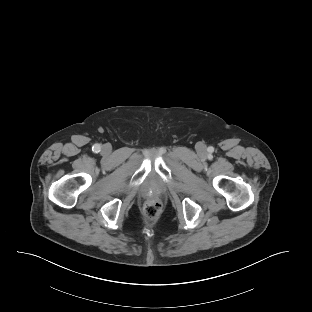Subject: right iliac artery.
Listing matches in <instances>:
<instances>
[{"label": "right iliac artery", "instance_id": "1", "mask_svg": "<svg viewBox=\"0 0 312 312\" xmlns=\"http://www.w3.org/2000/svg\"><path fill=\"white\" fill-rule=\"evenodd\" d=\"M100 150H101L100 144L93 145V147H92L93 152L98 153Z\"/></svg>", "mask_w": 312, "mask_h": 312}]
</instances>
